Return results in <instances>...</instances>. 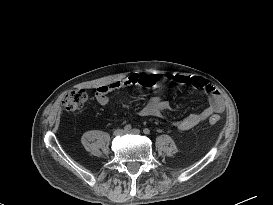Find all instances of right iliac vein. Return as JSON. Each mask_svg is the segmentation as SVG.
I'll return each instance as SVG.
<instances>
[{
  "instance_id": "1",
  "label": "right iliac vein",
  "mask_w": 273,
  "mask_h": 205,
  "mask_svg": "<svg viewBox=\"0 0 273 205\" xmlns=\"http://www.w3.org/2000/svg\"><path fill=\"white\" fill-rule=\"evenodd\" d=\"M124 134V130L123 129H116L114 131V135L115 136H120V135H123Z\"/></svg>"
}]
</instances>
